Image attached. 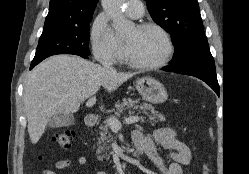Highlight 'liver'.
Returning a JSON list of instances; mask_svg holds the SVG:
<instances>
[{
	"label": "liver",
	"mask_w": 249,
	"mask_h": 174,
	"mask_svg": "<svg viewBox=\"0 0 249 174\" xmlns=\"http://www.w3.org/2000/svg\"><path fill=\"white\" fill-rule=\"evenodd\" d=\"M133 75L106 70L77 56L55 55L40 63L25 79L24 109L31 142L40 140L55 114L75 113L101 86L115 91Z\"/></svg>",
	"instance_id": "obj_1"
}]
</instances>
